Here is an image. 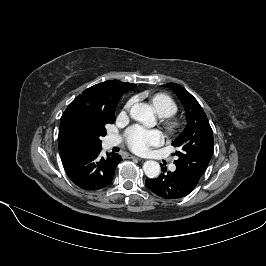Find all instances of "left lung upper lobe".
<instances>
[{"label": "left lung upper lobe", "mask_w": 266, "mask_h": 266, "mask_svg": "<svg viewBox=\"0 0 266 266\" xmlns=\"http://www.w3.org/2000/svg\"><path fill=\"white\" fill-rule=\"evenodd\" d=\"M181 100L186 111L187 126L173 141L178 148V160L174 162L190 181L197 184L213 155V132L207 116L198 101L181 85L168 83Z\"/></svg>", "instance_id": "obj_1"}]
</instances>
